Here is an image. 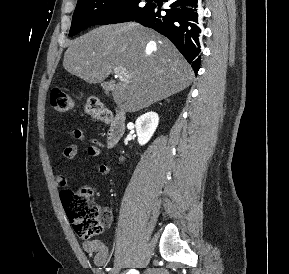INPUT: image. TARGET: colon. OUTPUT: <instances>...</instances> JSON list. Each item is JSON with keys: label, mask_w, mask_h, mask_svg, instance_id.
I'll return each mask as SVG.
<instances>
[{"label": "colon", "mask_w": 289, "mask_h": 274, "mask_svg": "<svg viewBox=\"0 0 289 274\" xmlns=\"http://www.w3.org/2000/svg\"><path fill=\"white\" fill-rule=\"evenodd\" d=\"M50 104L59 112H67L74 108V99L62 89H53L49 95ZM85 111L97 121L107 122L110 112L96 97H89L84 104ZM92 188L85 186L74 192L64 190L61 199L66 208L75 232L82 238L89 240L102 234L112 222V212L100 206L92 198Z\"/></svg>", "instance_id": "5ec220e1"}]
</instances>
